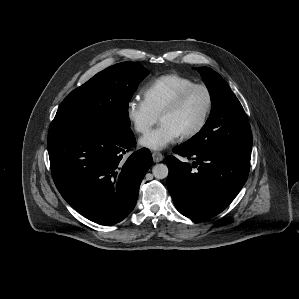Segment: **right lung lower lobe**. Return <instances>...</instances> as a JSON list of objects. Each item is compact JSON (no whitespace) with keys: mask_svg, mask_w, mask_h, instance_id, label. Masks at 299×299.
<instances>
[{"mask_svg":"<svg viewBox=\"0 0 299 299\" xmlns=\"http://www.w3.org/2000/svg\"><path fill=\"white\" fill-rule=\"evenodd\" d=\"M47 144L54 183L80 214L112 225L133 210L153 160L146 148L124 158L136 144L130 128L49 129Z\"/></svg>","mask_w":299,"mask_h":299,"instance_id":"obj_1","label":"right lung lower lobe"}]
</instances>
